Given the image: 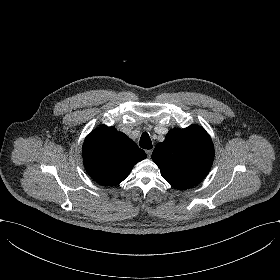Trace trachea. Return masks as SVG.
I'll return each instance as SVG.
<instances>
[{"label": "trachea", "mask_w": 280, "mask_h": 280, "mask_svg": "<svg viewBox=\"0 0 280 280\" xmlns=\"http://www.w3.org/2000/svg\"><path fill=\"white\" fill-rule=\"evenodd\" d=\"M139 145L143 149H151L152 148V142H151L150 137H149L147 132L142 133Z\"/></svg>", "instance_id": "1"}]
</instances>
